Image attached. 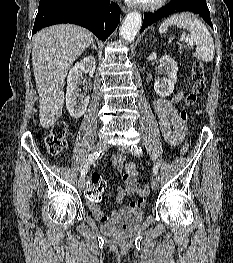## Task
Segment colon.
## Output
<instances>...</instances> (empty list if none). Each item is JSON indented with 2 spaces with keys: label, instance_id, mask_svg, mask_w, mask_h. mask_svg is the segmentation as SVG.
I'll return each mask as SVG.
<instances>
[{
  "label": "colon",
  "instance_id": "1",
  "mask_svg": "<svg viewBox=\"0 0 233 263\" xmlns=\"http://www.w3.org/2000/svg\"><path fill=\"white\" fill-rule=\"evenodd\" d=\"M192 89L185 99L186 108L180 113V118L184 123L188 122L187 108L194 105L198 97L205 90V74L204 67L200 61H195L192 65ZM68 127L65 122H57L53 125L49 133L44 137V145L50 155H59L66 147ZM187 143L181 148L182 152L187 151ZM129 170H133V166L129 165ZM101 174H104V169H93L90 178L88 190H85L86 202H99L101 195L106 189V181ZM148 195V187L145 186L142 192V200Z\"/></svg>",
  "mask_w": 233,
  "mask_h": 263
}]
</instances>
